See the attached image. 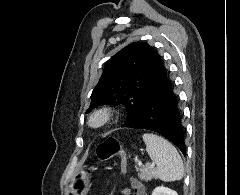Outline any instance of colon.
Wrapping results in <instances>:
<instances>
[{"label":"colon","mask_w":240,"mask_h":195,"mask_svg":"<svg viewBox=\"0 0 240 195\" xmlns=\"http://www.w3.org/2000/svg\"><path fill=\"white\" fill-rule=\"evenodd\" d=\"M97 155L99 158H110L117 155L119 159V171L118 174L123 176L128 171V158L127 152L121 150L120 143L115 139H107L98 148Z\"/></svg>","instance_id":"colon-1"}]
</instances>
